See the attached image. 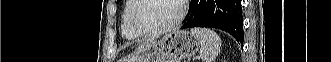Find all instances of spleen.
Listing matches in <instances>:
<instances>
[{"instance_id":"spleen-1","label":"spleen","mask_w":331,"mask_h":62,"mask_svg":"<svg viewBox=\"0 0 331 62\" xmlns=\"http://www.w3.org/2000/svg\"><path fill=\"white\" fill-rule=\"evenodd\" d=\"M191 33L200 39L199 53L202 62H213L220 52V37L214 31L205 28H192Z\"/></svg>"}]
</instances>
